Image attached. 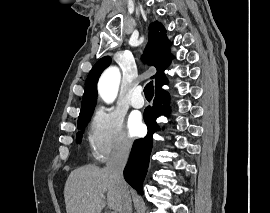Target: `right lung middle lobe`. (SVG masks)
Instances as JSON below:
<instances>
[{
    "label": "right lung middle lobe",
    "mask_w": 270,
    "mask_h": 213,
    "mask_svg": "<svg viewBox=\"0 0 270 213\" xmlns=\"http://www.w3.org/2000/svg\"><path fill=\"white\" fill-rule=\"evenodd\" d=\"M91 114H92V113H88V114L83 115V116H80V117L78 118V129H82V128H84V127L87 125V123H88L89 120H90ZM81 138H82V135H81V132H79V133L77 134L78 142L81 141Z\"/></svg>",
    "instance_id": "1"
}]
</instances>
